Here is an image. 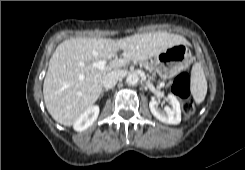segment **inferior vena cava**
I'll use <instances>...</instances> for the list:
<instances>
[{
    "mask_svg": "<svg viewBox=\"0 0 245 170\" xmlns=\"http://www.w3.org/2000/svg\"><path fill=\"white\" fill-rule=\"evenodd\" d=\"M124 76V72H111L103 80V86L105 89L113 88L116 83Z\"/></svg>",
    "mask_w": 245,
    "mask_h": 170,
    "instance_id": "602c4592",
    "label": "inferior vena cava"
}]
</instances>
